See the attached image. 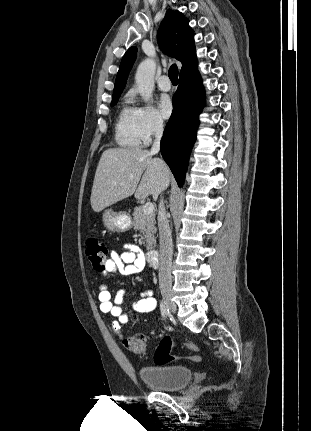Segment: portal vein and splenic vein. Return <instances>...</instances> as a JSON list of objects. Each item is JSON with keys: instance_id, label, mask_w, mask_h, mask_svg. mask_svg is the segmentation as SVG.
<instances>
[{"instance_id": "obj_1", "label": "portal vein and splenic vein", "mask_w": 311, "mask_h": 431, "mask_svg": "<svg viewBox=\"0 0 311 431\" xmlns=\"http://www.w3.org/2000/svg\"><path fill=\"white\" fill-rule=\"evenodd\" d=\"M154 206L151 204V202H147V204H144L143 206V212L144 214H154Z\"/></svg>"}]
</instances>
